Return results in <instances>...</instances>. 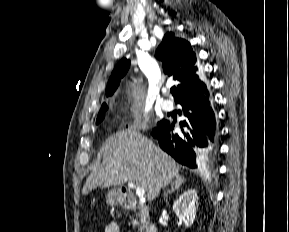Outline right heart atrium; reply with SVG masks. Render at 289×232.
<instances>
[{
	"instance_id": "obj_1",
	"label": "right heart atrium",
	"mask_w": 289,
	"mask_h": 232,
	"mask_svg": "<svg viewBox=\"0 0 289 232\" xmlns=\"http://www.w3.org/2000/svg\"><path fill=\"white\" fill-rule=\"evenodd\" d=\"M132 128H144V122L138 119H133L130 125Z\"/></svg>"
}]
</instances>
